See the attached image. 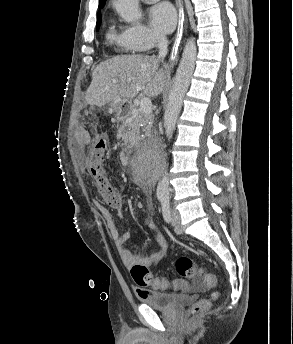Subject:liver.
Instances as JSON below:
<instances>
[{
    "label": "liver",
    "mask_w": 293,
    "mask_h": 344,
    "mask_svg": "<svg viewBox=\"0 0 293 344\" xmlns=\"http://www.w3.org/2000/svg\"><path fill=\"white\" fill-rule=\"evenodd\" d=\"M165 83L166 75L163 68H159V58L143 54L117 56L94 69L85 100L89 105L101 107L131 99L139 91L156 97L163 92Z\"/></svg>",
    "instance_id": "obj_1"
}]
</instances>
